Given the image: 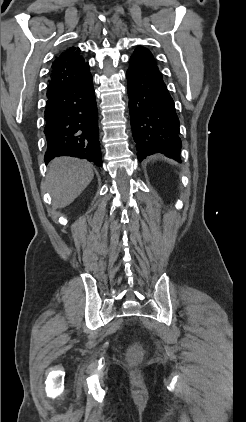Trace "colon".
<instances>
[{
    "mask_svg": "<svg viewBox=\"0 0 246 422\" xmlns=\"http://www.w3.org/2000/svg\"><path fill=\"white\" fill-rule=\"evenodd\" d=\"M129 356L131 358V360L136 361L140 358L141 356V351L138 347H132L129 351Z\"/></svg>",
    "mask_w": 246,
    "mask_h": 422,
    "instance_id": "obj_1",
    "label": "colon"
}]
</instances>
